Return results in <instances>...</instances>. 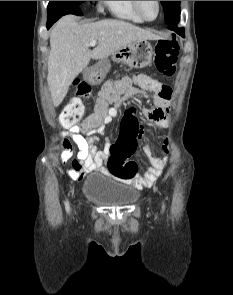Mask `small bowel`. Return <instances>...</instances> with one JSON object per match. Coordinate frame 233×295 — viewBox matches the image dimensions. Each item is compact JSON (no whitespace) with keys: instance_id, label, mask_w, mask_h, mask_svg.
<instances>
[{"instance_id":"obj_1","label":"small bowel","mask_w":233,"mask_h":295,"mask_svg":"<svg viewBox=\"0 0 233 295\" xmlns=\"http://www.w3.org/2000/svg\"><path fill=\"white\" fill-rule=\"evenodd\" d=\"M137 93H127L123 100L118 101L117 105L109 109L101 123L97 128L92 130H85L82 126H71L68 133L72 141L64 139L60 146L63 152L60 155V160L65 162L71 159V168L67 170V175L75 181H80L84 178L85 174L90 172L108 173V167L106 163L110 157L111 147L107 141L105 147L99 149L98 134H103L108 125L111 124L113 119L117 116L120 106L129 98L137 95ZM153 107L144 108L141 110L143 117L152 124H165L168 121L169 115V100L162 98L156 94L151 95ZM133 116L136 114L135 110L128 111ZM81 132H85L86 136H83ZM74 145L78 148L76 158H72L74 155ZM165 151L168 149L165 147ZM146 154L149 158L151 166L143 175H136L134 178L129 179L131 183L137 189H143L152 186L155 181L161 176L163 170L168 164V158L154 157L148 150Z\"/></svg>"}]
</instances>
